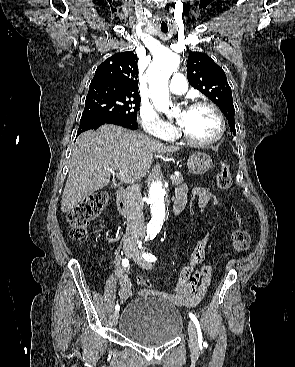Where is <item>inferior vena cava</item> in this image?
Wrapping results in <instances>:
<instances>
[{
    "mask_svg": "<svg viewBox=\"0 0 295 367\" xmlns=\"http://www.w3.org/2000/svg\"><path fill=\"white\" fill-rule=\"evenodd\" d=\"M127 227L123 237L124 246H134L144 229L143 202L139 185L132 184L126 189Z\"/></svg>",
    "mask_w": 295,
    "mask_h": 367,
    "instance_id": "obj_1",
    "label": "inferior vena cava"
}]
</instances>
